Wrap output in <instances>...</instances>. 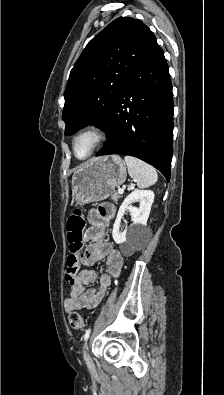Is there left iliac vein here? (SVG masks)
<instances>
[{
    "instance_id": "left-iliac-vein-1",
    "label": "left iliac vein",
    "mask_w": 224,
    "mask_h": 395,
    "mask_svg": "<svg viewBox=\"0 0 224 395\" xmlns=\"http://www.w3.org/2000/svg\"><path fill=\"white\" fill-rule=\"evenodd\" d=\"M83 355H84V359L87 362V364H91V358L87 352V344H84V346H83Z\"/></svg>"
}]
</instances>
